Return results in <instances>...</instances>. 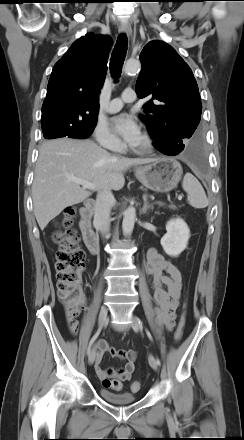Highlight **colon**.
<instances>
[{
	"instance_id": "colon-1",
	"label": "colon",
	"mask_w": 244,
	"mask_h": 440,
	"mask_svg": "<svg viewBox=\"0 0 244 440\" xmlns=\"http://www.w3.org/2000/svg\"><path fill=\"white\" fill-rule=\"evenodd\" d=\"M74 213L73 207L66 209L59 228L53 234V240L58 245L56 253L57 292L65 307L66 316L70 320H75L85 303L82 288L83 274L86 269L85 253L77 245V234L71 228ZM184 326L185 314H182L175 332V340L179 341L182 338ZM102 385L114 390H121L123 387L122 381L116 378H106L102 381ZM140 386L139 381H133L131 390L136 392Z\"/></svg>"
}]
</instances>
